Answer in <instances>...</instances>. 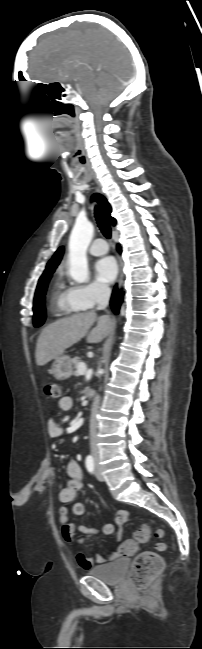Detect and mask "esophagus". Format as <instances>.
<instances>
[{
  "label": "esophagus",
  "mask_w": 202,
  "mask_h": 649,
  "mask_svg": "<svg viewBox=\"0 0 202 649\" xmlns=\"http://www.w3.org/2000/svg\"><path fill=\"white\" fill-rule=\"evenodd\" d=\"M97 191H99V189H97ZM120 266H121V263H120ZM121 283H122V273L120 274V278H119V284H121Z\"/></svg>",
  "instance_id": "34e87169"
}]
</instances>
